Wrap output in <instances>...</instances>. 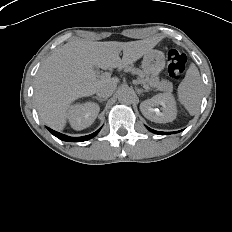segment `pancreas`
<instances>
[{
	"instance_id": "1",
	"label": "pancreas",
	"mask_w": 232,
	"mask_h": 232,
	"mask_svg": "<svg viewBox=\"0 0 232 232\" xmlns=\"http://www.w3.org/2000/svg\"><path fill=\"white\" fill-rule=\"evenodd\" d=\"M136 72H139V71H136ZM142 80L144 82L148 83L149 85L155 86V87L160 88L162 90L170 91L172 88V85L170 82H167V80L159 81L158 77L144 78Z\"/></svg>"
}]
</instances>
